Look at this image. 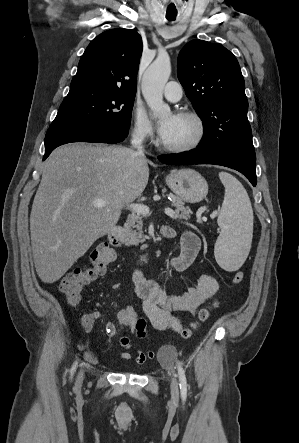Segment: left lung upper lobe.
I'll return each instance as SVG.
<instances>
[{"instance_id": "obj_1", "label": "left lung upper lobe", "mask_w": 299, "mask_h": 443, "mask_svg": "<svg viewBox=\"0 0 299 443\" xmlns=\"http://www.w3.org/2000/svg\"><path fill=\"white\" fill-rule=\"evenodd\" d=\"M177 74L203 121L204 137L197 148L212 153L254 151L236 57L219 44L192 40L179 53Z\"/></svg>"}]
</instances>
